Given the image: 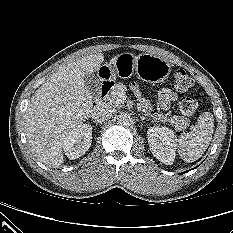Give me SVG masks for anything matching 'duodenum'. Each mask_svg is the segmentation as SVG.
<instances>
[{
  "label": "duodenum",
  "instance_id": "1",
  "mask_svg": "<svg viewBox=\"0 0 233 233\" xmlns=\"http://www.w3.org/2000/svg\"><path fill=\"white\" fill-rule=\"evenodd\" d=\"M113 85H114V81L112 78H105L102 81V84L100 87V92H99V95H98L97 100H96L97 103H102L105 100L108 93L112 89Z\"/></svg>",
  "mask_w": 233,
  "mask_h": 233
}]
</instances>
